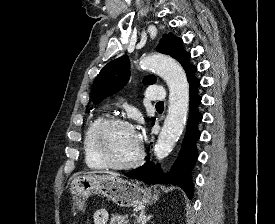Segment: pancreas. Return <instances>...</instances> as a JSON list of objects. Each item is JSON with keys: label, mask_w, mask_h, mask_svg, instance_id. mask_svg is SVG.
Returning <instances> with one entry per match:
<instances>
[{"label": "pancreas", "mask_w": 275, "mask_h": 224, "mask_svg": "<svg viewBox=\"0 0 275 224\" xmlns=\"http://www.w3.org/2000/svg\"><path fill=\"white\" fill-rule=\"evenodd\" d=\"M110 224H128V221L126 220L125 216L112 214Z\"/></svg>", "instance_id": "cf45deb5"}]
</instances>
